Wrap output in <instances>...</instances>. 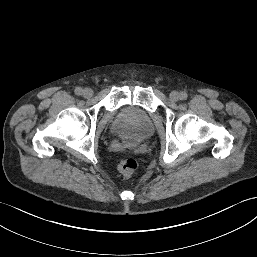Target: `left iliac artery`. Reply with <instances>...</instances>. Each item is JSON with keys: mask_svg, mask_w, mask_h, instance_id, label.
I'll list each match as a JSON object with an SVG mask.
<instances>
[{"mask_svg": "<svg viewBox=\"0 0 257 257\" xmlns=\"http://www.w3.org/2000/svg\"><path fill=\"white\" fill-rule=\"evenodd\" d=\"M180 99L181 100H186L187 99V93L186 92H181L180 93Z\"/></svg>", "mask_w": 257, "mask_h": 257, "instance_id": "left-iliac-artery-1", "label": "left iliac artery"}]
</instances>
